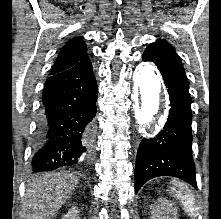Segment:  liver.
Here are the masks:
<instances>
[{"mask_svg": "<svg viewBox=\"0 0 221 219\" xmlns=\"http://www.w3.org/2000/svg\"><path fill=\"white\" fill-rule=\"evenodd\" d=\"M78 177L62 172L45 174L26 185L24 219H53L78 184Z\"/></svg>", "mask_w": 221, "mask_h": 219, "instance_id": "1", "label": "liver"}]
</instances>
